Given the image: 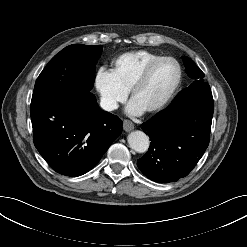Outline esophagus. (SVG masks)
<instances>
[{"label": "esophagus", "mask_w": 247, "mask_h": 247, "mask_svg": "<svg viewBox=\"0 0 247 247\" xmlns=\"http://www.w3.org/2000/svg\"><path fill=\"white\" fill-rule=\"evenodd\" d=\"M123 129L126 132H130L134 129V124L130 120H124L123 121Z\"/></svg>", "instance_id": "1"}]
</instances>
